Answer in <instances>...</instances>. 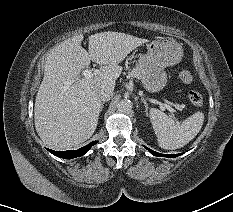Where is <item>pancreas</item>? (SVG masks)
Returning a JSON list of instances; mask_svg holds the SVG:
<instances>
[{"label":"pancreas","mask_w":233,"mask_h":212,"mask_svg":"<svg viewBox=\"0 0 233 212\" xmlns=\"http://www.w3.org/2000/svg\"><path fill=\"white\" fill-rule=\"evenodd\" d=\"M129 75L134 78H140V71L138 68H135L131 72H129Z\"/></svg>","instance_id":"obj_1"}]
</instances>
